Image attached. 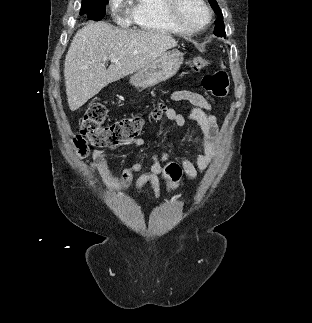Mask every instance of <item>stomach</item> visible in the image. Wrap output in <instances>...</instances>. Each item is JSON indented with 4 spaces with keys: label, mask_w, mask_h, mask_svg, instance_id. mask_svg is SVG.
I'll return each instance as SVG.
<instances>
[{
    "label": "stomach",
    "mask_w": 312,
    "mask_h": 323,
    "mask_svg": "<svg viewBox=\"0 0 312 323\" xmlns=\"http://www.w3.org/2000/svg\"><path fill=\"white\" fill-rule=\"evenodd\" d=\"M184 62L183 52L179 50H170L164 52L160 58L151 62L146 68L138 70L130 78V84L135 88H150L160 82H165L177 74L181 64Z\"/></svg>",
    "instance_id": "0dacf381"
}]
</instances>
